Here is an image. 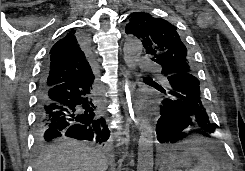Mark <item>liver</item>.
I'll return each instance as SVG.
<instances>
[{
  "label": "liver",
  "instance_id": "obj_1",
  "mask_svg": "<svg viewBox=\"0 0 245 171\" xmlns=\"http://www.w3.org/2000/svg\"><path fill=\"white\" fill-rule=\"evenodd\" d=\"M34 167L35 171H106L108 160L99 150L69 140L50 146Z\"/></svg>",
  "mask_w": 245,
  "mask_h": 171
}]
</instances>
